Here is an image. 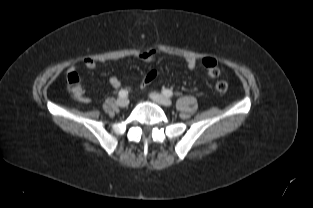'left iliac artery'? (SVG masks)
<instances>
[{
  "label": "left iliac artery",
  "instance_id": "1",
  "mask_svg": "<svg viewBox=\"0 0 313 208\" xmlns=\"http://www.w3.org/2000/svg\"><path fill=\"white\" fill-rule=\"evenodd\" d=\"M162 93L167 96V97H172L173 96V92L169 89H163Z\"/></svg>",
  "mask_w": 313,
  "mask_h": 208
}]
</instances>
